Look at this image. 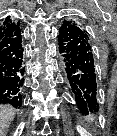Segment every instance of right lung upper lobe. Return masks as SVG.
I'll list each match as a JSON object with an SVG mask.
<instances>
[{
  "instance_id": "right-lung-upper-lobe-1",
  "label": "right lung upper lobe",
  "mask_w": 117,
  "mask_h": 136,
  "mask_svg": "<svg viewBox=\"0 0 117 136\" xmlns=\"http://www.w3.org/2000/svg\"><path fill=\"white\" fill-rule=\"evenodd\" d=\"M14 21L10 19V17H7L5 21L0 25V37L3 33H5L9 28H11L14 25Z\"/></svg>"
}]
</instances>
